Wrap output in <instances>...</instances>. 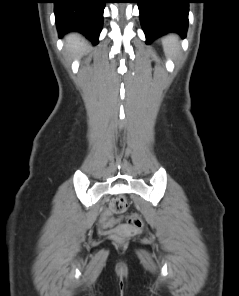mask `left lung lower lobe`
I'll list each match as a JSON object with an SVG mask.
<instances>
[{
	"mask_svg": "<svg viewBox=\"0 0 239 296\" xmlns=\"http://www.w3.org/2000/svg\"><path fill=\"white\" fill-rule=\"evenodd\" d=\"M147 42L169 32L185 37L191 0H136Z\"/></svg>",
	"mask_w": 239,
	"mask_h": 296,
	"instance_id": "0a47b994",
	"label": "left lung lower lobe"
}]
</instances>
